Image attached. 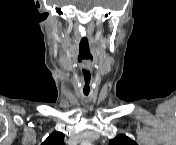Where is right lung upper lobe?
<instances>
[{"mask_svg": "<svg viewBox=\"0 0 176 145\" xmlns=\"http://www.w3.org/2000/svg\"><path fill=\"white\" fill-rule=\"evenodd\" d=\"M64 134L61 132H53L49 137L42 143V145H64Z\"/></svg>", "mask_w": 176, "mask_h": 145, "instance_id": "obj_1", "label": "right lung upper lobe"}]
</instances>
